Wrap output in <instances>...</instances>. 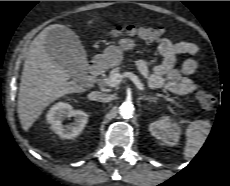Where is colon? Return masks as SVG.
<instances>
[{
  "instance_id": "1",
  "label": "colon",
  "mask_w": 230,
  "mask_h": 186,
  "mask_svg": "<svg viewBox=\"0 0 230 186\" xmlns=\"http://www.w3.org/2000/svg\"><path fill=\"white\" fill-rule=\"evenodd\" d=\"M164 32V28L160 26L135 27L132 25H118L109 30L107 35L110 38L136 36L145 42L152 43L160 41ZM196 97L200 105L204 108H211L215 104V97L210 92L199 91Z\"/></svg>"
}]
</instances>
